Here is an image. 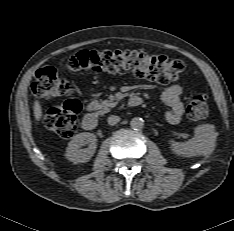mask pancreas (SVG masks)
Wrapping results in <instances>:
<instances>
[{
    "mask_svg": "<svg viewBox=\"0 0 234 231\" xmlns=\"http://www.w3.org/2000/svg\"><path fill=\"white\" fill-rule=\"evenodd\" d=\"M117 105V102L105 100L99 102L98 100L94 99L89 104V109L97 111L99 114L108 113L110 108H113Z\"/></svg>",
    "mask_w": 234,
    "mask_h": 231,
    "instance_id": "cf45deb5",
    "label": "pancreas"
}]
</instances>
